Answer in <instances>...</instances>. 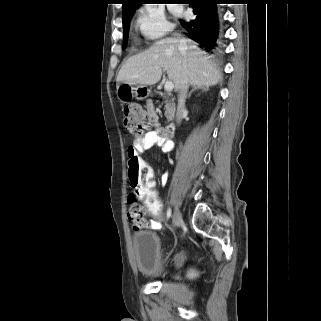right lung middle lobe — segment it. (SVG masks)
<instances>
[{
	"mask_svg": "<svg viewBox=\"0 0 321 321\" xmlns=\"http://www.w3.org/2000/svg\"><path fill=\"white\" fill-rule=\"evenodd\" d=\"M134 15V12L126 13L122 15V22H123V48L126 47L127 39H128V32H129V24Z\"/></svg>",
	"mask_w": 321,
	"mask_h": 321,
	"instance_id": "obj_1",
	"label": "right lung middle lobe"
}]
</instances>
